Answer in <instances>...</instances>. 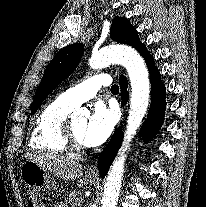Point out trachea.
<instances>
[{"mask_svg":"<svg viewBox=\"0 0 206 207\" xmlns=\"http://www.w3.org/2000/svg\"><path fill=\"white\" fill-rule=\"evenodd\" d=\"M111 92L112 93H118L119 92V86L116 85V84L112 85Z\"/></svg>","mask_w":206,"mask_h":207,"instance_id":"obj_1","label":"trachea"}]
</instances>
